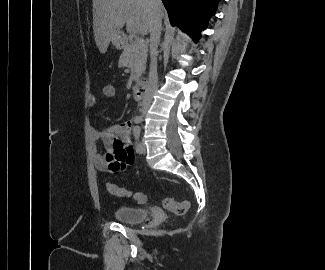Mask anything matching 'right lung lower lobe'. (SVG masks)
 <instances>
[{
	"label": "right lung lower lobe",
	"instance_id": "obj_1",
	"mask_svg": "<svg viewBox=\"0 0 325 270\" xmlns=\"http://www.w3.org/2000/svg\"><path fill=\"white\" fill-rule=\"evenodd\" d=\"M173 26H178L196 42L201 30L215 14L219 0H162Z\"/></svg>",
	"mask_w": 325,
	"mask_h": 270
}]
</instances>
